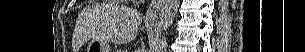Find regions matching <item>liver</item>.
I'll use <instances>...</instances> for the list:
<instances>
[{"mask_svg":"<svg viewBox=\"0 0 305 52\" xmlns=\"http://www.w3.org/2000/svg\"><path fill=\"white\" fill-rule=\"evenodd\" d=\"M104 22L93 29L86 27L88 39L102 40L115 44H126L135 39L142 22L141 14L125 6L111 5L106 9Z\"/></svg>","mask_w":305,"mask_h":52,"instance_id":"6515ba94","label":"liver"}]
</instances>
